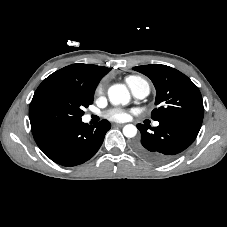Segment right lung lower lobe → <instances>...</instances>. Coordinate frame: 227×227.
I'll return each instance as SVG.
<instances>
[{"label": "right lung lower lobe", "mask_w": 227, "mask_h": 227, "mask_svg": "<svg viewBox=\"0 0 227 227\" xmlns=\"http://www.w3.org/2000/svg\"><path fill=\"white\" fill-rule=\"evenodd\" d=\"M111 125L103 120L90 126L81 120L31 129L38 147L62 166L82 164L95 155Z\"/></svg>", "instance_id": "obj_1"}]
</instances>
